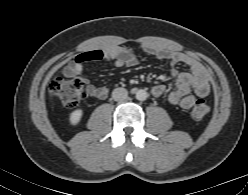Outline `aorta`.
Segmentation results:
<instances>
[{"label": "aorta", "mask_w": 248, "mask_h": 195, "mask_svg": "<svg viewBox=\"0 0 248 195\" xmlns=\"http://www.w3.org/2000/svg\"><path fill=\"white\" fill-rule=\"evenodd\" d=\"M147 97H148V94L145 90H143V89L137 90V92H136V99L137 100L144 101L147 99Z\"/></svg>", "instance_id": "aorta-1"}]
</instances>
